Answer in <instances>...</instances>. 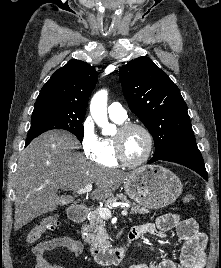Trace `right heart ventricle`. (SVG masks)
Segmentation results:
<instances>
[{"mask_svg": "<svg viewBox=\"0 0 221 268\" xmlns=\"http://www.w3.org/2000/svg\"><path fill=\"white\" fill-rule=\"evenodd\" d=\"M116 123H121L116 120H113ZM96 162L105 167H117L119 162L115 157L114 144L112 137H104L101 139V149L100 154Z\"/></svg>", "mask_w": 221, "mask_h": 268, "instance_id": "right-heart-ventricle-1", "label": "right heart ventricle"}]
</instances>
